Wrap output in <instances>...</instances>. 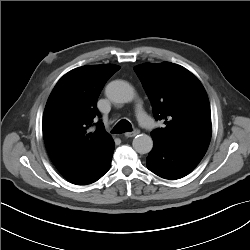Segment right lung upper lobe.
<instances>
[{
	"mask_svg": "<svg viewBox=\"0 0 250 250\" xmlns=\"http://www.w3.org/2000/svg\"><path fill=\"white\" fill-rule=\"evenodd\" d=\"M119 69L113 64L76 68L65 74L50 94L43 115V137L61 174L80 166L113 141L103 123H95L100 115L96 105L106 81Z\"/></svg>",
	"mask_w": 250,
	"mask_h": 250,
	"instance_id": "obj_1",
	"label": "right lung upper lobe"
}]
</instances>
